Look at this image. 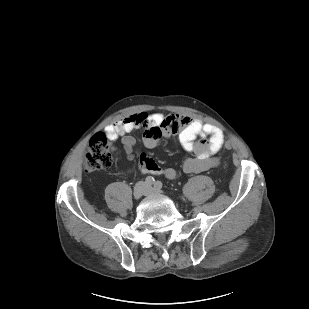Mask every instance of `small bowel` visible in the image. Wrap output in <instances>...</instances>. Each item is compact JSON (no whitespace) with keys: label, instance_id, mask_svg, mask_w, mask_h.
Returning <instances> with one entry per match:
<instances>
[{"label":"small bowel","instance_id":"c3829d8e","mask_svg":"<svg viewBox=\"0 0 309 309\" xmlns=\"http://www.w3.org/2000/svg\"><path fill=\"white\" fill-rule=\"evenodd\" d=\"M141 129L145 131L143 144L147 148L156 147L162 138L177 136L182 147L194 154L182 163L185 173L203 172L219 164L216 155L223 147L224 134L220 128L197 118L180 114L138 112L108 125L104 133L112 141L121 137L127 158L132 159L136 140L131 133ZM139 168L142 173L163 175L169 179L177 176L176 169L161 167L146 155L140 157Z\"/></svg>","mask_w":309,"mask_h":309}]
</instances>
